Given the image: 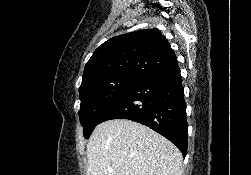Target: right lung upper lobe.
Masks as SVG:
<instances>
[{"label":"right lung upper lobe","mask_w":251,"mask_h":175,"mask_svg":"<svg viewBox=\"0 0 251 175\" xmlns=\"http://www.w3.org/2000/svg\"><path fill=\"white\" fill-rule=\"evenodd\" d=\"M177 65L174 51L159 29L138 30L99 46L85 65L80 88L118 76L143 79Z\"/></svg>","instance_id":"obj_1"}]
</instances>
